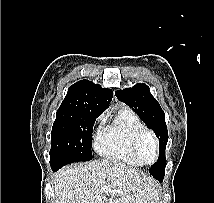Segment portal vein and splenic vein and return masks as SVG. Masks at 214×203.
Here are the masks:
<instances>
[{
  "label": "portal vein and splenic vein",
  "mask_w": 214,
  "mask_h": 203,
  "mask_svg": "<svg viewBox=\"0 0 214 203\" xmlns=\"http://www.w3.org/2000/svg\"><path fill=\"white\" fill-rule=\"evenodd\" d=\"M105 191H106V192H110L111 189H110L109 187L106 186V187H105Z\"/></svg>",
  "instance_id": "obj_1"
}]
</instances>
